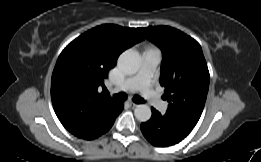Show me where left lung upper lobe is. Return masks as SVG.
<instances>
[{
	"mask_svg": "<svg viewBox=\"0 0 261 162\" xmlns=\"http://www.w3.org/2000/svg\"><path fill=\"white\" fill-rule=\"evenodd\" d=\"M163 54L160 84L169 102L166 114L195 126L202 114L210 75L200 44L168 26L139 28Z\"/></svg>",
	"mask_w": 261,
	"mask_h": 162,
	"instance_id": "left-lung-upper-lobe-1",
	"label": "left lung upper lobe"
}]
</instances>
